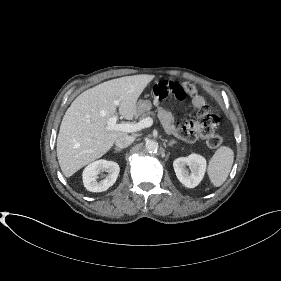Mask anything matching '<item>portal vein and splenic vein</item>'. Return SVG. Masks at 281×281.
Wrapping results in <instances>:
<instances>
[{"label":"portal vein and splenic vein","mask_w":281,"mask_h":281,"mask_svg":"<svg viewBox=\"0 0 281 281\" xmlns=\"http://www.w3.org/2000/svg\"><path fill=\"white\" fill-rule=\"evenodd\" d=\"M114 104L119 106L120 99L114 100ZM118 115H114L108 120L107 129L108 130H115V131H122L127 133L138 132L142 129L151 127L153 125V119L151 117H146L143 120H140L138 123H120L117 124Z\"/></svg>","instance_id":"1"}]
</instances>
